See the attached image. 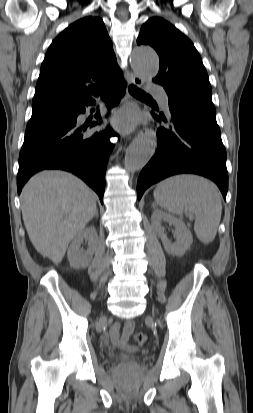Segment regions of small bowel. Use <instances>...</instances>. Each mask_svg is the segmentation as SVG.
<instances>
[{
    "label": "small bowel",
    "mask_w": 253,
    "mask_h": 413,
    "mask_svg": "<svg viewBox=\"0 0 253 413\" xmlns=\"http://www.w3.org/2000/svg\"><path fill=\"white\" fill-rule=\"evenodd\" d=\"M134 330V323L127 321L124 325L115 323L110 329V339L114 345L123 348L126 346L131 333Z\"/></svg>",
    "instance_id": "small-bowel-1"
}]
</instances>
